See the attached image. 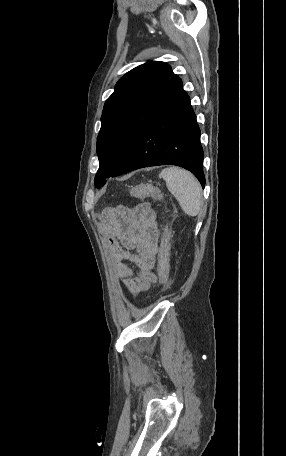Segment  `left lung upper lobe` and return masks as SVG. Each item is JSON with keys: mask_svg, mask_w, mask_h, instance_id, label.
I'll list each match as a JSON object with an SVG mask.
<instances>
[{"mask_svg": "<svg viewBox=\"0 0 286 456\" xmlns=\"http://www.w3.org/2000/svg\"><path fill=\"white\" fill-rule=\"evenodd\" d=\"M182 86L171 67L159 61H148L132 69L116 83L101 116L95 187L100 188L106 177L114 175L140 132Z\"/></svg>", "mask_w": 286, "mask_h": 456, "instance_id": "left-lung-upper-lobe-1", "label": "left lung upper lobe"}]
</instances>
